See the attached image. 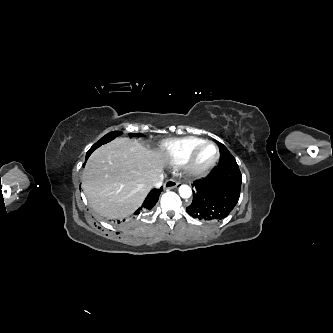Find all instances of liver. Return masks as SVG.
I'll use <instances>...</instances> for the list:
<instances>
[{"label":"liver","instance_id":"6515ba94","mask_svg":"<svg viewBox=\"0 0 333 333\" xmlns=\"http://www.w3.org/2000/svg\"><path fill=\"white\" fill-rule=\"evenodd\" d=\"M163 156L129 138H116L95 150L82 175L90 206L112 219L131 215L141 206L163 172Z\"/></svg>","mask_w":333,"mask_h":333}]
</instances>
